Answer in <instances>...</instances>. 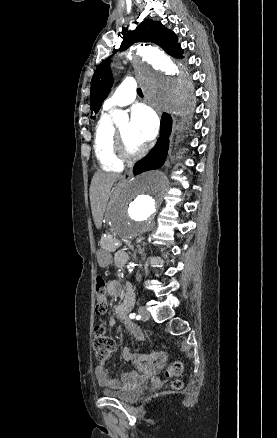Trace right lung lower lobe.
Returning <instances> with one entry per match:
<instances>
[{
  "instance_id": "obj_1",
  "label": "right lung lower lobe",
  "mask_w": 277,
  "mask_h": 438,
  "mask_svg": "<svg viewBox=\"0 0 277 438\" xmlns=\"http://www.w3.org/2000/svg\"><path fill=\"white\" fill-rule=\"evenodd\" d=\"M172 129V119L167 113H164L161 119V137L158 139L152 151L134 166V174L144 171L160 168L167 157L169 139Z\"/></svg>"
}]
</instances>
